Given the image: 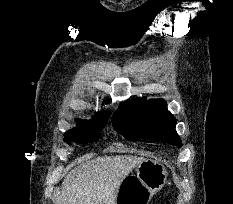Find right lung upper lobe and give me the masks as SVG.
I'll list each match as a JSON object with an SVG mask.
<instances>
[{
    "mask_svg": "<svg viewBox=\"0 0 233 204\" xmlns=\"http://www.w3.org/2000/svg\"><path fill=\"white\" fill-rule=\"evenodd\" d=\"M108 115H109V112H102V113H99V114H96L93 119H97V118H108ZM81 121H86V120H78V122H81Z\"/></svg>",
    "mask_w": 233,
    "mask_h": 204,
    "instance_id": "cb5924a9",
    "label": "right lung upper lobe"
}]
</instances>
